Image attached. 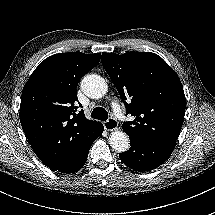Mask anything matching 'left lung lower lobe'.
<instances>
[{
    "instance_id": "left-lung-lower-lobe-1",
    "label": "left lung lower lobe",
    "mask_w": 215,
    "mask_h": 215,
    "mask_svg": "<svg viewBox=\"0 0 215 215\" xmlns=\"http://www.w3.org/2000/svg\"><path fill=\"white\" fill-rule=\"evenodd\" d=\"M131 140L128 151L119 154L121 161L131 169L139 172L151 171L163 164L171 155L176 142H150Z\"/></svg>"
}]
</instances>
